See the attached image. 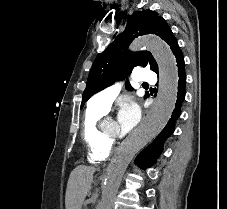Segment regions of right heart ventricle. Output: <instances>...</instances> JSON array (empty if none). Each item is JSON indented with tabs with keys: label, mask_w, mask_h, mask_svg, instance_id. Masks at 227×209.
<instances>
[{
	"label": "right heart ventricle",
	"mask_w": 227,
	"mask_h": 209,
	"mask_svg": "<svg viewBox=\"0 0 227 209\" xmlns=\"http://www.w3.org/2000/svg\"><path fill=\"white\" fill-rule=\"evenodd\" d=\"M107 109L91 106L84 114L81 122L80 134L86 145L87 160L94 165L105 163L112 147L102 140L99 132V122L106 114Z\"/></svg>",
	"instance_id": "obj_1"
}]
</instances>
